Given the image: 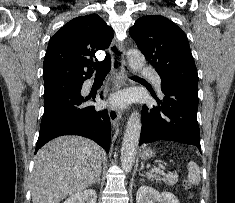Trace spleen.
<instances>
[{"mask_svg":"<svg viewBox=\"0 0 235 203\" xmlns=\"http://www.w3.org/2000/svg\"><path fill=\"white\" fill-rule=\"evenodd\" d=\"M187 169H188V179H189V181L194 185H198L200 183V180H201L199 166L195 162L190 161L187 165ZM147 176L150 179L155 178L156 181H158V179L156 178V176L152 172L147 173Z\"/></svg>","mask_w":235,"mask_h":203,"instance_id":"1","label":"spleen"}]
</instances>
